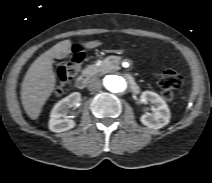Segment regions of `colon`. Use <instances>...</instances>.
Returning <instances> with one entry per match:
<instances>
[{"label": "colon", "instance_id": "5ec220e1", "mask_svg": "<svg viewBox=\"0 0 212 183\" xmlns=\"http://www.w3.org/2000/svg\"><path fill=\"white\" fill-rule=\"evenodd\" d=\"M83 53L79 48H74L66 61L56 68V85L54 92L61 95L68 82L77 74L83 62ZM183 84L182 76L174 69L165 70L160 78L162 97L166 101H171L174 97L173 90L178 89Z\"/></svg>", "mask_w": 212, "mask_h": 183}]
</instances>
